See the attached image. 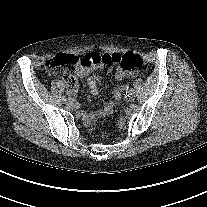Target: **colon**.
I'll return each mask as SVG.
<instances>
[{
  "label": "colon",
  "mask_w": 207,
  "mask_h": 207,
  "mask_svg": "<svg viewBox=\"0 0 207 207\" xmlns=\"http://www.w3.org/2000/svg\"><path fill=\"white\" fill-rule=\"evenodd\" d=\"M95 64H114L119 65L124 71H135L143 67L144 61L142 57L134 53L119 54H94L83 58L70 54H61L54 57L46 65L49 71H62L63 78L66 83L73 88L76 81V73L79 68L88 67ZM96 127L95 123L88 126V130L92 131Z\"/></svg>",
  "instance_id": "obj_1"
}]
</instances>
